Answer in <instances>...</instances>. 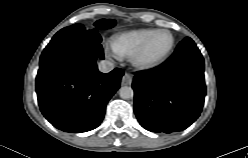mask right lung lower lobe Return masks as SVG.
<instances>
[{
	"mask_svg": "<svg viewBox=\"0 0 248 158\" xmlns=\"http://www.w3.org/2000/svg\"><path fill=\"white\" fill-rule=\"evenodd\" d=\"M101 36L92 30L58 32L40 57L36 92L42 114L56 128L86 132L103 120L106 104L120 87L124 72L104 74Z\"/></svg>",
	"mask_w": 248,
	"mask_h": 158,
	"instance_id": "98d812e1",
	"label": "right lung lower lobe"
}]
</instances>
